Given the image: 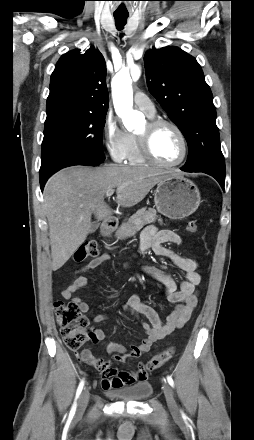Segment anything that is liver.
Listing matches in <instances>:
<instances>
[{
    "label": "liver",
    "mask_w": 254,
    "mask_h": 440,
    "mask_svg": "<svg viewBox=\"0 0 254 440\" xmlns=\"http://www.w3.org/2000/svg\"><path fill=\"white\" fill-rule=\"evenodd\" d=\"M168 174L146 167L111 164L97 168L73 166L52 175L43 192L52 269L61 268L86 240L92 214L99 220L112 214L104 202L108 190L116 188L117 203L132 207Z\"/></svg>",
    "instance_id": "liver-1"
}]
</instances>
